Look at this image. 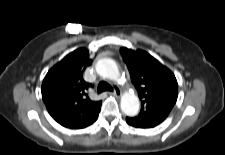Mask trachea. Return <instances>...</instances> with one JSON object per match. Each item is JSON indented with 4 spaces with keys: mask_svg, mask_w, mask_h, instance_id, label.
Returning a JSON list of instances; mask_svg holds the SVG:
<instances>
[{
    "mask_svg": "<svg viewBox=\"0 0 225 155\" xmlns=\"http://www.w3.org/2000/svg\"><path fill=\"white\" fill-rule=\"evenodd\" d=\"M98 93L104 92V91H113V88L110 84H108L105 81H101L98 85L97 89Z\"/></svg>",
    "mask_w": 225,
    "mask_h": 155,
    "instance_id": "3493384b",
    "label": "trachea"
}]
</instances>
